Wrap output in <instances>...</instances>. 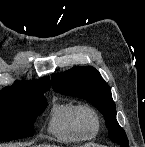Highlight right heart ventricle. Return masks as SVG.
Here are the masks:
<instances>
[{
  "label": "right heart ventricle",
  "mask_w": 145,
  "mask_h": 147,
  "mask_svg": "<svg viewBox=\"0 0 145 147\" xmlns=\"http://www.w3.org/2000/svg\"><path fill=\"white\" fill-rule=\"evenodd\" d=\"M81 106L74 101H54L48 122L50 134L59 140L68 142L94 138L97 132L85 128L80 121Z\"/></svg>",
  "instance_id": "e07e8e85"
}]
</instances>
